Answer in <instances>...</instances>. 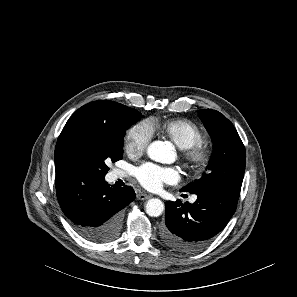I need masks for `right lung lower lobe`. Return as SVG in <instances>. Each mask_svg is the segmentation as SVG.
<instances>
[{"label":"right lung lower lobe","mask_w":297,"mask_h":297,"mask_svg":"<svg viewBox=\"0 0 297 297\" xmlns=\"http://www.w3.org/2000/svg\"><path fill=\"white\" fill-rule=\"evenodd\" d=\"M56 193L75 231L96 243L118 237L122 209L135 198L132 187H110L104 177L82 171L56 175Z\"/></svg>","instance_id":"1"}]
</instances>
